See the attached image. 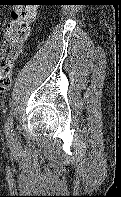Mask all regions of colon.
<instances>
[{"label":"colon","mask_w":121,"mask_h":197,"mask_svg":"<svg viewBox=\"0 0 121 197\" xmlns=\"http://www.w3.org/2000/svg\"><path fill=\"white\" fill-rule=\"evenodd\" d=\"M37 9L27 0H14L12 20L6 27L5 39L0 50V94L11 85L14 60L20 54L22 45L29 34L30 24L34 22Z\"/></svg>","instance_id":"1"}]
</instances>
